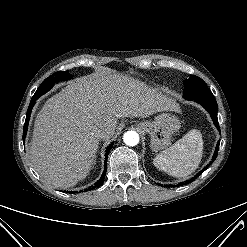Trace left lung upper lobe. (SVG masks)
Returning a JSON list of instances; mask_svg holds the SVG:
<instances>
[{
	"instance_id": "1",
	"label": "left lung upper lobe",
	"mask_w": 247,
	"mask_h": 247,
	"mask_svg": "<svg viewBox=\"0 0 247 247\" xmlns=\"http://www.w3.org/2000/svg\"><path fill=\"white\" fill-rule=\"evenodd\" d=\"M183 97L186 99L214 97L205 82L197 76H191L184 81Z\"/></svg>"
}]
</instances>
